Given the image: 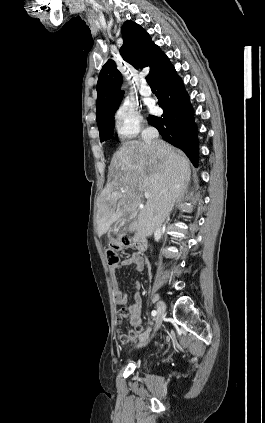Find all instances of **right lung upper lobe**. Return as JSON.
I'll use <instances>...</instances> for the list:
<instances>
[{
  "instance_id": "obj_1",
  "label": "right lung upper lobe",
  "mask_w": 265,
  "mask_h": 423,
  "mask_svg": "<svg viewBox=\"0 0 265 423\" xmlns=\"http://www.w3.org/2000/svg\"><path fill=\"white\" fill-rule=\"evenodd\" d=\"M122 35V58L136 68L149 66L152 78L169 62L167 56L140 25L126 21L122 26ZM121 83V73L114 61L109 59L102 67L97 82V124L120 104L123 97Z\"/></svg>"
}]
</instances>
